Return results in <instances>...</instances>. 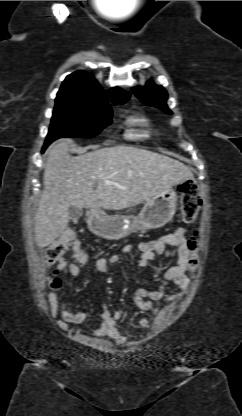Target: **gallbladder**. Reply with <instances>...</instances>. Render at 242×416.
I'll return each instance as SVG.
<instances>
[{
  "label": "gallbladder",
  "mask_w": 242,
  "mask_h": 416,
  "mask_svg": "<svg viewBox=\"0 0 242 416\" xmlns=\"http://www.w3.org/2000/svg\"><path fill=\"white\" fill-rule=\"evenodd\" d=\"M68 212H69V217L72 220H78L83 215V210L73 205L69 207Z\"/></svg>",
  "instance_id": "bac80fb5"
}]
</instances>
